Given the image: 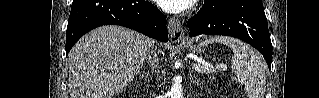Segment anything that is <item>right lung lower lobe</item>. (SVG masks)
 I'll list each match as a JSON object with an SVG mask.
<instances>
[{
  "mask_svg": "<svg viewBox=\"0 0 319 98\" xmlns=\"http://www.w3.org/2000/svg\"><path fill=\"white\" fill-rule=\"evenodd\" d=\"M110 24L168 41L165 15L147 1L73 0L66 31V54L85 33Z\"/></svg>",
  "mask_w": 319,
  "mask_h": 98,
  "instance_id": "obj_1",
  "label": "right lung lower lobe"
}]
</instances>
